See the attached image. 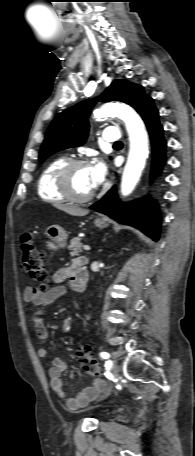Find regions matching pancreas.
Instances as JSON below:
<instances>
[{
  "instance_id": "cf45deb5",
  "label": "pancreas",
  "mask_w": 195,
  "mask_h": 456,
  "mask_svg": "<svg viewBox=\"0 0 195 456\" xmlns=\"http://www.w3.org/2000/svg\"><path fill=\"white\" fill-rule=\"evenodd\" d=\"M81 246V239L78 237L73 238L70 242V246L68 247V249L71 250V255H78L79 253H81Z\"/></svg>"
}]
</instances>
